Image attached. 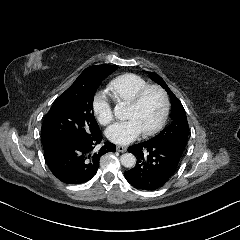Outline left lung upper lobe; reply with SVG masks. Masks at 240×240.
<instances>
[{
  "mask_svg": "<svg viewBox=\"0 0 240 240\" xmlns=\"http://www.w3.org/2000/svg\"><path fill=\"white\" fill-rule=\"evenodd\" d=\"M149 76L152 80L161 85L169 94L171 99L172 122L167 128L147 142L157 144L174 143L185 148L189 134V127L183 105L159 75L154 72H149Z\"/></svg>",
  "mask_w": 240,
  "mask_h": 240,
  "instance_id": "left-lung-upper-lobe-1",
  "label": "left lung upper lobe"
}]
</instances>
